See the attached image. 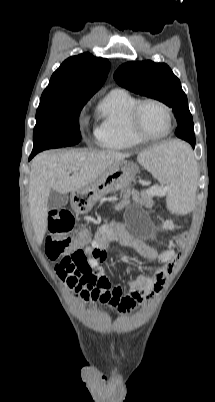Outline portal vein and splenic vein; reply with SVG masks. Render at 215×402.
Instances as JSON below:
<instances>
[{
	"mask_svg": "<svg viewBox=\"0 0 215 402\" xmlns=\"http://www.w3.org/2000/svg\"><path fill=\"white\" fill-rule=\"evenodd\" d=\"M71 171L76 172V171H78V168H72ZM166 192H167V189H165V190L163 191V193H166Z\"/></svg>",
	"mask_w": 215,
	"mask_h": 402,
	"instance_id": "obj_1",
	"label": "portal vein and splenic vein"
}]
</instances>
